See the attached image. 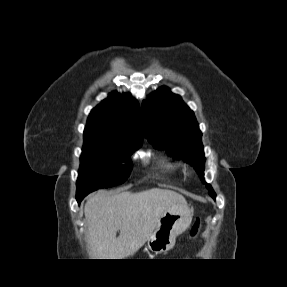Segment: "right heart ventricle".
<instances>
[{"label": "right heart ventricle", "mask_w": 287, "mask_h": 287, "mask_svg": "<svg viewBox=\"0 0 287 287\" xmlns=\"http://www.w3.org/2000/svg\"><path fill=\"white\" fill-rule=\"evenodd\" d=\"M162 166L169 172H175L177 170V165L169 160H162Z\"/></svg>", "instance_id": "obj_1"}]
</instances>
